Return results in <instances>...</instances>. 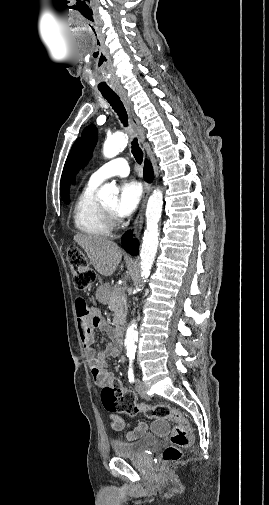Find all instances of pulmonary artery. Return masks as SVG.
<instances>
[{"label":"pulmonary artery","instance_id":"pulmonary-artery-1","mask_svg":"<svg viewBox=\"0 0 269 505\" xmlns=\"http://www.w3.org/2000/svg\"><path fill=\"white\" fill-rule=\"evenodd\" d=\"M129 174V165L127 159L123 157L115 158L101 167L91 175L89 181L95 184H101L105 180L114 176H127Z\"/></svg>","mask_w":269,"mask_h":505}]
</instances>
